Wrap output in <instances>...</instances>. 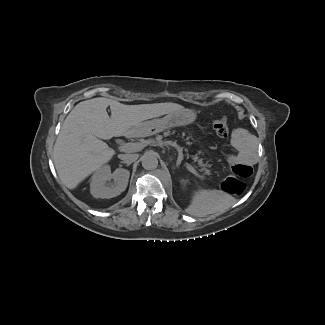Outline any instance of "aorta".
Segmentation results:
<instances>
[{"label": "aorta", "mask_w": 325, "mask_h": 325, "mask_svg": "<svg viewBox=\"0 0 325 325\" xmlns=\"http://www.w3.org/2000/svg\"><path fill=\"white\" fill-rule=\"evenodd\" d=\"M142 166L146 170H154L158 166L157 154L153 151L146 152L142 158Z\"/></svg>", "instance_id": "762f6f07"}]
</instances>
